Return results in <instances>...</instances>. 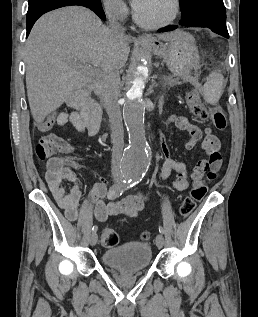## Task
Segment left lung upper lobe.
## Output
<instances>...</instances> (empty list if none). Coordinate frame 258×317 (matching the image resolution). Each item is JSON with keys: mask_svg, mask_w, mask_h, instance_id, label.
Segmentation results:
<instances>
[{"mask_svg": "<svg viewBox=\"0 0 258 317\" xmlns=\"http://www.w3.org/2000/svg\"><path fill=\"white\" fill-rule=\"evenodd\" d=\"M204 3H218L224 7L223 0H180L182 18L181 22H189ZM225 9V7H224Z\"/></svg>", "mask_w": 258, "mask_h": 317, "instance_id": "1", "label": "left lung upper lobe"}]
</instances>
